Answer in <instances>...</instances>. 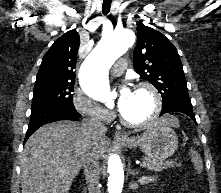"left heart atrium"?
I'll use <instances>...</instances> for the list:
<instances>
[{
  "label": "left heart atrium",
  "instance_id": "left-heart-atrium-1",
  "mask_svg": "<svg viewBox=\"0 0 221 193\" xmlns=\"http://www.w3.org/2000/svg\"><path fill=\"white\" fill-rule=\"evenodd\" d=\"M133 95V91L126 85L122 86L119 90L117 106L122 112L126 109Z\"/></svg>",
  "mask_w": 221,
  "mask_h": 193
}]
</instances>
